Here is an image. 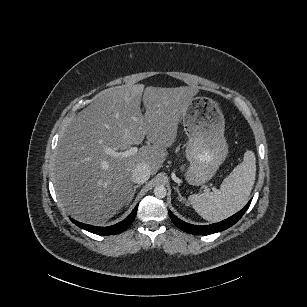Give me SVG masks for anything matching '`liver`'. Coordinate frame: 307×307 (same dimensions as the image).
<instances>
[{
  "mask_svg": "<svg viewBox=\"0 0 307 307\" xmlns=\"http://www.w3.org/2000/svg\"><path fill=\"white\" fill-rule=\"evenodd\" d=\"M194 86H115L101 91L68 125L51 170L58 202L76 220L100 224L130 201L132 173L146 163L156 174L176 141L178 124ZM141 101L146 109L141 112ZM147 138L148 145L130 157H113L106 149L125 150ZM150 143L152 145H150Z\"/></svg>",
  "mask_w": 307,
  "mask_h": 307,
  "instance_id": "6515ba94",
  "label": "liver"
}]
</instances>
